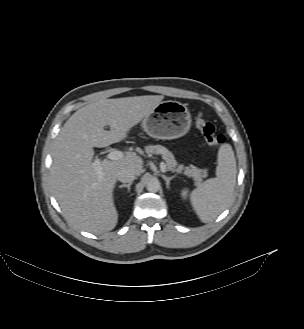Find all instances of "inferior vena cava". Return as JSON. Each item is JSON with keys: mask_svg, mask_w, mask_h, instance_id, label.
<instances>
[{"mask_svg": "<svg viewBox=\"0 0 304 329\" xmlns=\"http://www.w3.org/2000/svg\"><path fill=\"white\" fill-rule=\"evenodd\" d=\"M135 178V173L129 169H122L117 174V180L123 183H130Z\"/></svg>", "mask_w": 304, "mask_h": 329, "instance_id": "obj_1", "label": "inferior vena cava"}]
</instances>
